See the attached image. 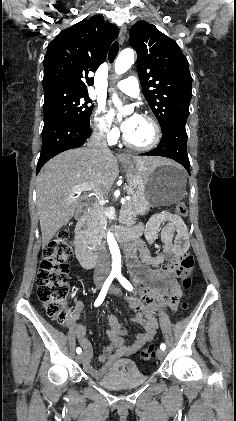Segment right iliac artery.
<instances>
[{"label":"right iliac artery","mask_w":236,"mask_h":421,"mask_svg":"<svg viewBox=\"0 0 236 421\" xmlns=\"http://www.w3.org/2000/svg\"><path fill=\"white\" fill-rule=\"evenodd\" d=\"M116 277V274L115 273H111L109 276H108V278L106 279V281L104 282V284H103V287H102V289H101V291H100V294H99V296H98V298L95 300V302H94V306L95 307H98L99 305H101L102 304V302L104 301V298H105V296H106V293H107V291H108V289H109V287H110V285H111V283H112V281H113V279ZM82 352V349L80 348V347H78L77 349H76V353L77 354H80Z\"/></svg>","instance_id":"1"}]
</instances>
